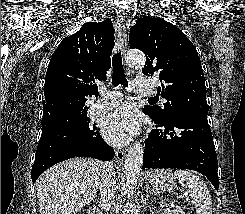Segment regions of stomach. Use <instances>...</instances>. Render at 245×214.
I'll return each mask as SVG.
<instances>
[{
    "label": "stomach",
    "instance_id": "0dacf381",
    "mask_svg": "<svg viewBox=\"0 0 245 214\" xmlns=\"http://www.w3.org/2000/svg\"><path fill=\"white\" fill-rule=\"evenodd\" d=\"M148 183L157 191L168 192L175 185V177L170 170H153L149 173Z\"/></svg>",
    "mask_w": 245,
    "mask_h": 214
}]
</instances>
